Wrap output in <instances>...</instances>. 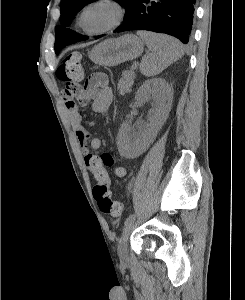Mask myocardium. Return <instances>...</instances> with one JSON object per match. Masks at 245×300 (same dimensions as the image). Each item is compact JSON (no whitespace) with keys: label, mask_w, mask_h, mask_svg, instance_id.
<instances>
[{"label":"myocardium","mask_w":245,"mask_h":300,"mask_svg":"<svg viewBox=\"0 0 245 300\" xmlns=\"http://www.w3.org/2000/svg\"><path fill=\"white\" fill-rule=\"evenodd\" d=\"M97 6H106L111 8L115 13V17L109 25L99 29L91 30L84 25V17L88 10ZM125 17L126 10L119 0H92L84 5L80 10L78 15V25L88 34H102L118 27L124 21Z\"/></svg>","instance_id":"f54148a6"}]
</instances>
